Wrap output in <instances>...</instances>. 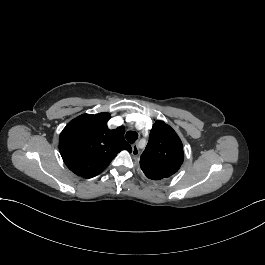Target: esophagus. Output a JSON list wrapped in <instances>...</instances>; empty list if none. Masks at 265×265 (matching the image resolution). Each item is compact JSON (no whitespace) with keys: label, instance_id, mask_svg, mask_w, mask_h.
I'll return each mask as SVG.
<instances>
[{"label":"esophagus","instance_id":"34e87169","mask_svg":"<svg viewBox=\"0 0 265 265\" xmlns=\"http://www.w3.org/2000/svg\"><path fill=\"white\" fill-rule=\"evenodd\" d=\"M139 145L138 143L132 144V155L133 156H138L139 155Z\"/></svg>","mask_w":265,"mask_h":265}]
</instances>
